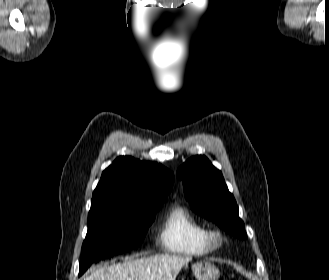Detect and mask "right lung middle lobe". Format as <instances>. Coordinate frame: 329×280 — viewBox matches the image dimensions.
I'll list each match as a JSON object with an SVG mask.
<instances>
[{
  "label": "right lung middle lobe",
  "mask_w": 329,
  "mask_h": 280,
  "mask_svg": "<svg viewBox=\"0 0 329 280\" xmlns=\"http://www.w3.org/2000/svg\"><path fill=\"white\" fill-rule=\"evenodd\" d=\"M164 200L145 203L109 201L95 205L88 215L79 276L93 262L138 247Z\"/></svg>",
  "instance_id": "1"
}]
</instances>
